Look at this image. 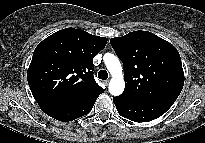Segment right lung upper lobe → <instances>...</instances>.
Segmentation results:
<instances>
[{
  "instance_id": "1",
  "label": "right lung upper lobe",
  "mask_w": 205,
  "mask_h": 143,
  "mask_svg": "<svg viewBox=\"0 0 205 143\" xmlns=\"http://www.w3.org/2000/svg\"><path fill=\"white\" fill-rule=\"evenodd\" d=\"M106 38L75 28L62 29L38 44L27 80L39 106L73 108L104 92L93 76V58Z\"/></svg>"
}]
</instances>
